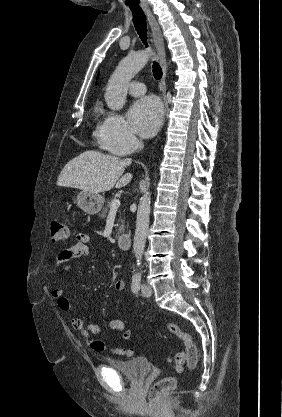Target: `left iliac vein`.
I'll return each mask as SVG.
<instances>
[{
  "mask_svg": "<svg viewBox=\"0 0 282 417\" xmlns=\"http://www.w3.org/2000/svg\"><path fill=\"white\" fill-rule=\"evenodd\" d=\"M151 294H152V289H151V287H149V286H147V285H144V286L142 287V295H143L144 297H150V296H151Z\"/></svg>",
  "mask_w": 282,
  "mask_h": 417,
  "instance_id": "left-iliac-vein-1",
  "label": "left iliac vein"
}]
</instances>
